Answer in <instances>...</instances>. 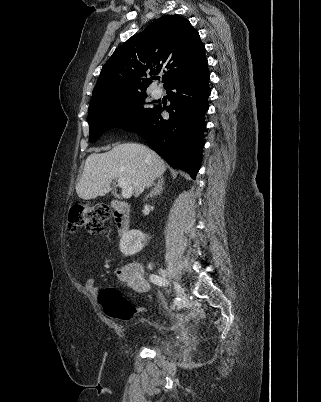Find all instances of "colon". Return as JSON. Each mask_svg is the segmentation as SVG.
I'll use <instances>...</instances> for the list:
<instances>
[{
    "mask_svg": "<svg viewBox=\"0 0 321 402\" xmlns=\"http://www.w3.org/2000/svg\"><path fill=\"white\" fill-rule=\"evenodd\" d=\"M111 211L106 206L97 204H74L71 206L67 226L70 232L84 228L88 233L98 234L103 224L110 219ZM99 303L104 313L112 319L128 321L135 311L128 298L120 290L109 287L100 292Z\"/></svg>",
    "mask_w": 321,
    "mask_h": 402,
    "instance_id": "colon-1",
    "label": "colon"
}]
</instances>
